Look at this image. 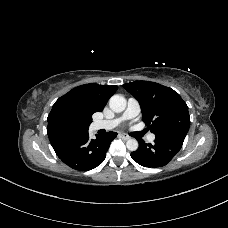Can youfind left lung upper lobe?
I'll use <instances>...</instances> for the list:
<instances>
[{
  "label": "left lung upper lobe",
  "mask_w": 228,
  "mask_h": 228,
  "mask_svg": "<svg viewBox=\"0 0 228 228\" xmlns=\"http://www.w3.org/2000/svg\"><path fill=\"white\" fill-rule=\"evenodd\" d=\"M123 87L139 101L143 121L155 136H186L190 127L188 106L177 92L149 81L126 83Z\"/></svg>",
  "instance_id": "1"
}]
</instances>
